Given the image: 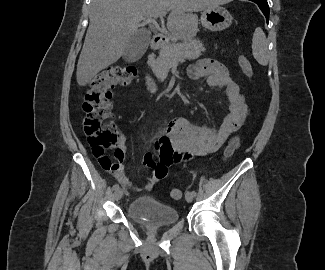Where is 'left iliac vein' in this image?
<instances>
[{
    "instance_id": "1",
    "label": "left iliac vein",
    "mask_w": 325,
    "mask_h": 270,
    "mask_svg": "<svg viewBox=\"0 0 325 270\" xmlns=\"http://www.w3.org/2000/svg\"><path fill=\"white\" fill-rule=\"evenodd\" d=\"M194 196L192 195L191 192H187L185 195V199L187 202H192L193 201Z\"/></svg>"
}]
</instances>
